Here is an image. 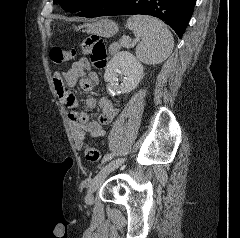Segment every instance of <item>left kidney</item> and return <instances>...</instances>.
I'll return each mask as SVG.
<instances>
[{
  "label": "left kidney",
  "mask_w": 240,
  "mask_h": 238,
  "mask_svg": "<svg viewBox=\"0 0 240 238\" xmlns=\"http://www.w3.org/2000/svg\"><path fill=\"white\" fill-rule=\"evenodd\" d=\"M118 74L124 76L118 83ZM143 66L140 61L127 51L118 52L106 66L104 80L108 83L110 93H129L134 90L141 80Z\"/></svg>",
  "instance_id": "left-kidney-1"
}]
</instances>
